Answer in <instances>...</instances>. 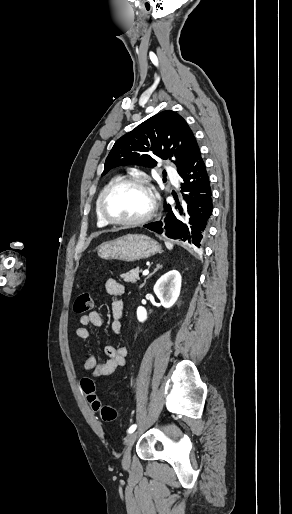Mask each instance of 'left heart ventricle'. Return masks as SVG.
Segmentation results:
<instances>
[{
	"label": "left heart ventricle",
	"mask_w": 292,
	"mask_h": 514,
	"mask_svg": "<svg viewBox=\"0 0 292 514\" xmlns=\"http://www.w3.org/2000/svg\"><path fill=\"white\" fill-rule=\"evenodd\" d=\"M149 207V195L135 185H122L112 189L104 202L105 211L117 220H132L142 217L147 213Z\"/></svg>",
	"instance_id": "left-heart-ventricle-1"
}]
</instances>
